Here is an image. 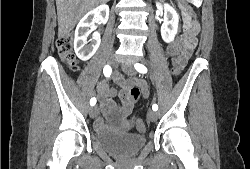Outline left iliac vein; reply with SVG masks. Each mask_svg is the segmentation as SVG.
Returning <instances> with one entry per match:
<instances>
[{
    "mask_svg": "<svg viewBox=\"0 0 250 169\" xmlns=\"http://www.w3.org/2000/svg\"><path fill=\"white\" fill-rule=\"evenodd\" d=\"M133 64H134L133 61H129V62L122 64V70L127 74L135 75L136 71L133 68ZM147 117L149 121L153 122L157 119V113L154 110H149L147 112Z\"/></svg>",
    "mask_w": 250,
    "mask_h": 169,
    "instance_id": "left-iliac-vein-1",
    "label": "left iliac vein"
}]
</instances>
